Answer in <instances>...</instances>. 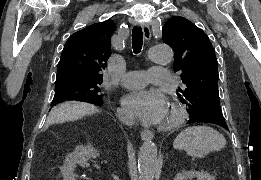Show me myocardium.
Instances as JSON below:
<instances>
[{
    "instance_id": "1",
    "label": "myocardium",
    "mask_w": 261,
    "mask_h": 180,
    "mask_svg": "<svg viewBox=\"0 0 261 180\" xmlns=\"http://www.w3.org/2000/svg\"><path fill=\"white\" fill-rule=\"evenodd\" d=\"M182 105L171 97L168 101V108L165 116L156 123V128L162 132H172L177 129L184 119Z\"/></svg>"
}]
</instances>
